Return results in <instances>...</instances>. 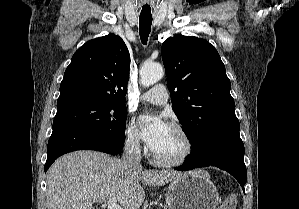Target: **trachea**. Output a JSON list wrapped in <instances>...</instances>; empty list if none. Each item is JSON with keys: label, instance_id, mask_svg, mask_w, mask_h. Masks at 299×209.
Segmentation results:
<instances>
[{"label": "trachea", "instance_id": "obj_1", "mask_svg": "<svg viewBox=\"0 0 299 209\" xmlns=\"http://www.w3.org/2000/svg\"><path fill=\"white\" fill-rule=\"evenodd\" d=\"M152 17H139V32L140 39L143 44H147L148 37L151 31Z\"/></svg>", "mask_w": 299, "mask_h": 209}]
</instances>
